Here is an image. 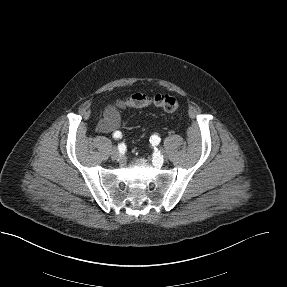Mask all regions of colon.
<instances>
[{
  "instance_id": "5ec220e1",
  "label": "colon",
  "mask_w": 287,
  "mask_h": 287,
  "mask_svg": "<svg viewBox=\"0 0 287 287\" xmlns=\"http://www.w3.org/2000/svg\"><path fill=\"white\" fill-rule=\"evenodd\" d=\"M157 107L166 112H175L179 108L178 100L170 94L147 95L144 93H134L116 102L119 109Z\"/></svg>"
}]
</instances>
